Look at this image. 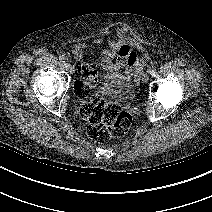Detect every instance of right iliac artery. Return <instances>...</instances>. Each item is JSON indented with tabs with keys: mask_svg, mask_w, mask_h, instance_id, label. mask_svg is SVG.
I'll use <instances>...</instances> for the list:
<instances>
[{
	"mask_svg": "<svg viewBox=\"0 0 212 212\" xmlns=\"http://www.w3.org/2000/svg\"><path fill=\"white\" fill-rule=\"evenodd\" d=\"M59 60L61 61V62H65V60H66V58H65V56L64 55H60L59 56Z\"/></svg>",
	"mask_w": 212,
	"mask_h": 212,
	"instance_id": "obj_1",
	"label": "right iliac artery"
}]
</instances>
